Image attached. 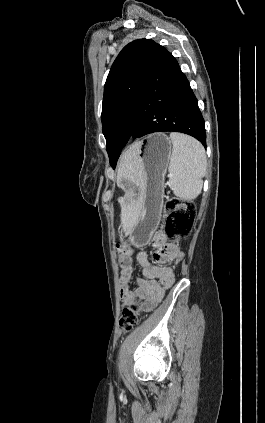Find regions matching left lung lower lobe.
I'll return each instance as SVG.
<instances>
[{"label":"left lung lower lobe","instance_id":"1","mask_svg":"<svg viewBox=\"0 0 265 423\" xmlns=\"http://www.w3.org/2000/svg\"><path fill=\"white\" fill-rule=\"evenodd\" d=\"M164 131L188 134L206 147L204 119L189 81L161 46L138 98L128 140Z\"/></svg>","mask_w":265,"mask_h":423}]
</instances>
